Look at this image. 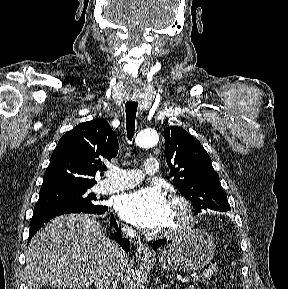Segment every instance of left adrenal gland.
Masks as SVG:
<instances>
[{
    "label": "left adrenal gland",
    "instance_id": "left-adrenal-gland-1",
    "mask_svg": "<svg viewBox=\"0 0 288 289\" xmlns=\"http://www.w3.org/2000/svg\"><path fill=\"white\" fill-rule=\"evenodd\" d=\"M157 283H158V289H164V288H166V287H168L169 286V284L168 283H166V284H164V283H162V281L160 280V278L159 277H157Z\"/></svg>",
    "mask_w": 288,
    "mask_h": 289
}]
</instances>
